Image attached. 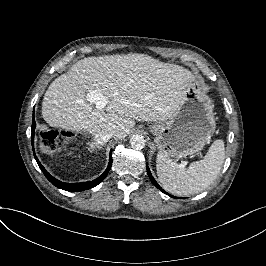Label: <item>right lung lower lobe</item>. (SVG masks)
I'll return each mask as SVG.
<instances>
[{"label": "right lung lower lobe", "mask_w": 266, "mask_h": 266, "mask_svg": "<svg viewBox=\"0 0 266 266\" xmlns=\"http://www.w3.org/2000/svg\"><path fill=\"white\" fill-rule=\"evenodd\" d=\"M35 127H36V123H35V119H34V112H33V119H32V135H31V142H32V148H33V153H34V157L40 167V169L42 170V172L44 173V175L46 176V178L56 187L66 190V191H84V190H88L91 189L93 187H95L96 185H98L99 183L102 182V180L107 176L110 168H111V164H112V151L110 152V156H109V164L107 166V169L105 170V172L98 177L97 179L90 181V182H82V183H64L61 182L57 179H55L53 176H51L46 169L42 166V164L39 162L35 152H34V132H35Z\"/></svg>", "instance_id": "right-lung-lower-lobe-1"}]
</instances>
